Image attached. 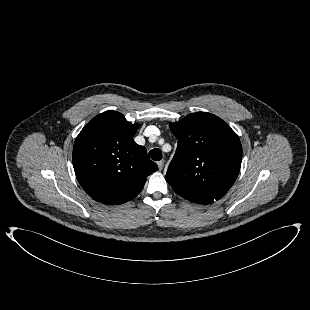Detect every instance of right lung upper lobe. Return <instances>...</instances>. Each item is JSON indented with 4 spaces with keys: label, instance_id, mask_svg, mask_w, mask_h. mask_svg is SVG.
Segmentation results:
<instances>
[{
    "label": "right lung upper lobe",
    "instance_id": "1",
    "mask_svg": "<svg viewBox=\"0 0 310 310\" xmlns=\"http://www.w3.org/2000/svg\"><path fill=\"white\" fill-rule=\"evenodd\" d=\"M138 124L117 111L94 117L73 147V166L80 185L94 200L117 205L136 197L158 166L145 147L133 140Z\"/></svg>",
    "mask_w": 310,
    "mask_h": 310
}]
</instances>
